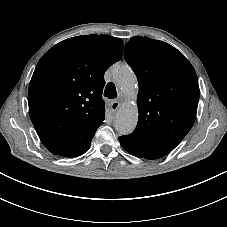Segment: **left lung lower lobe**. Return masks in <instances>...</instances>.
<instances>
[{
    "label": "left lung lower lobe",
    "instance_id": "1",
    "mask_svg": "<svg viewBox=\"0 0 227 227\" xmlns=\"http://www.w3.org/2000/svg\"><path fill=\"white\" fill-rule=\"evenodd\" d=\"M119 141L122 147L127 152L136 157H144L146 159H158L166 155L154 149L153 147L139 144L135 142V140L127 138L126 136L119 137Z\"/></svg>",
    "mask_w": 227,
    "mask_h": 227
}]
</instances>
